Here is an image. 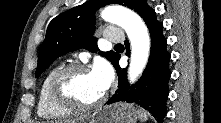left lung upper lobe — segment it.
<instances>
[{
    "label": "left lung upper lobe",
    "mask_w": 221,
    "mask_h": 123,
    "mask_svg": "<svg viewBox=\"0 0 221 123\" xmlns=\"http://www.w3.org/2000/svg\"><path fill=\"white\" fill-rule=\"evenodd\" d=\"M109 4L123 5L139 13L146 5V1L90 0L55 17L48 25L45 40L40 47L36 77L55 59L67 52L80 48H86L92 52L99 51L96 38L92 36L96 21L94 14L97 9ZM98 53L112 63L119 55L114 51Z\"/></svg>",
    "instance_id": "obj_1"
}]
</instances>
